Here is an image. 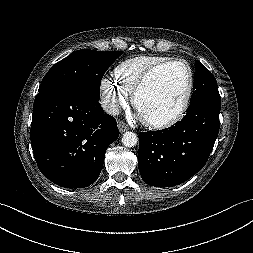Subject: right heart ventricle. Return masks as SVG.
<instances>
[{
  "label": "right heart ventricle",
  "mask_w": 253,
  "mask_h": 253,
  "mask_svg": "<svg viewBox=\"0 0 253 253\" xmlns=\"http://www.w3.org/2000/svg\"><path fill=\"white\" fill-rule=\"evenodd\" d=\"M171 58L161 55H138L119 63L114 71V81L128 94H132L143 74L152 66Z\"/></svg>",
  "instance_id": "right-heart-ventricle-1"
}]
</instances>
